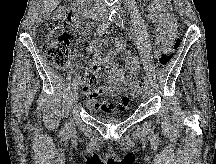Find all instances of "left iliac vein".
Segmentation results:
<instances>
[{
	"label": "left iliac vein",
	"mask_w": 216,
	"mask_h": 164,
	"mask_svg": "<svg viewBox=\"0 0 216 164\" xmlns=\"http://www.w3.org/2000/svg\"><path fill=\"white\" fill-rule=\"evenodd\" d=\"M148 91H149L148 84H145L143 88V93H142V97L144 100L147 98Z\"/></svg>",
	"instance_id": "obj_1"
}]
</instances>
